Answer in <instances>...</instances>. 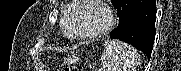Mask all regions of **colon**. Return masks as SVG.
Masks as SVG:
<instances>
[{
    "label": "colon",
    "mask_w": 181,
    "mask_h": 71,
    "mask_svg": "<svg viewBox=\"0 0 181 71\" xmlns=\"http://www.w3.org/2000/svg\"><path fill=\"white\" fill-rule=\"evenodd\" d=\"M74 70H77V68L72 67V66H67L64 68V71H74Z\"/></svg>",
    "instance_id": "1"
}]
</instances>
